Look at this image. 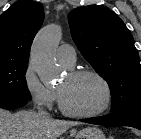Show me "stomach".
<instances>
[{
    "label": "stomach",
    "mask_w": 141,
    "mask_h": 139,
    "mask_svg": "<svg viewBox=\"0 0 141 139\" xmlns=\"http://www.w3.org/2000/svg\"><path fill=\"white\" fill-rule=\"evenodd\" d=\"M75 139H106L104 133L97 127H87L80 130Z\"/></svg>",
    "instance_id": "obj_1"
}]
</instances>
